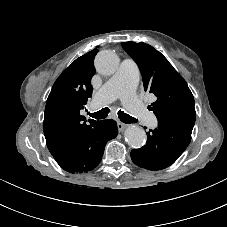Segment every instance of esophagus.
<instances>
[{
    "label": "esophagus",
    "mask_w": 227,
    "mask_h": 227,
    "mask_svg": "<svg viewBox=\"0 0 227 227\" xmlns=\"http://www.w3.org/2000/svg\"><path fill=\"white\" fill-rule=\"evenodd\" d=\"M127 126H128L127 124H124L120 121L117 122V127L120 132L124 131L127 128Z\"/></svg>",
    "instance_id": "esophagus-1"
}]
</instances>
